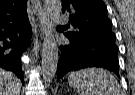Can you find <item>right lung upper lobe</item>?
<instances>
[{
  "label": "right lung upper lobe",
  "mask_w": 135,
  "mask_h": 95,
  "mask_svg": "<svg viewBox=\"0 0 135 95\" xmlns=\"http://www.w3.org/2000/svg\"><path fill=\"white\" fill-rule=\"evenodd\" d=\"M26 5L27 0H0V23L27 17Z\"/></svg>",
  "instance_id": "1"
}]
</instances>
